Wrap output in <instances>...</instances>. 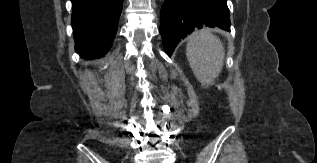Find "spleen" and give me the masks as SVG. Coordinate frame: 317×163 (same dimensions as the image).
<instances>
[{
    "label": "spleen",
    "mask_w": 317,
    "mask_h": 163,
    "mask_svg": "<svg viewBox=\"0 0 317 163\" xmlns=\"http://www.w3.org/2000/svg\"><path fill=\"white\" fill-rule=\"evenodd\" d=\"M186 55L199 82L208 86L223 68L225 50L217 36L203 29L189 36Z\"/></svg>",
    "instance_id": "spleen-1"
}]
</instances>
